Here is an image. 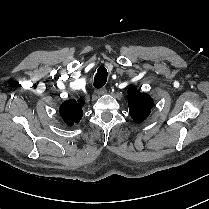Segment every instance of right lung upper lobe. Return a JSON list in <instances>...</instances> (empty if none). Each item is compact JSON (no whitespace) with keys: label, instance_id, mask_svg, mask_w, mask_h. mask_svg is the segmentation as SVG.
Returning <instances> with one entry per match:
<instances>
[{"label":"right lung upper lobe","instance_id":"1","mask_svg":"<svg viewBox=\"0 0 209 209\" xmlns=\"http://www.w3.org/2000/svg\"><path fill=\"white\" fill-rule=\"evenodd\" d=\"M84 103V99H70L61 104L59 113L65 123H67L69 126H72L74 123L80 122L83 116L82 107Z\"/></svg>","mask_w":209,"mask_h":209}]
</instances>
